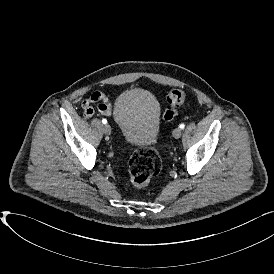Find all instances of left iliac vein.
Instances as JSON below:
<instances>
[{"label": "left iliac vein", "mask_w": 274, "mask_h": 274, "mask_svg": "<svg viewBox=\"0 0 274 274\" xmlns=\"http://www.w3.org/2000/svg\"><path fill=\"white\" fill-rule=\"evenodd\" d=\"M182 130L180 128H175L172 132L174 138L178 139L181 137Z\"/></svg>", "instance_id": "1"}]
</instances>
